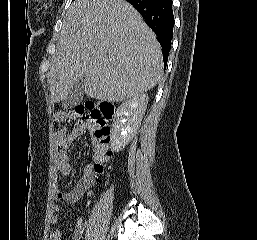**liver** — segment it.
Returning <instances> with one entry per match:
<instances>
[{
  "instance_id": "1",
  "label": "liver",
  "mask_w": 257,
  "mask_h": 240,
  "mask_svg": "<svg viewBox=\"0 0 257 240\" xmlns=\"http://www.w3.org/2000/svg\"><path fill=\"white\" fill-rule=\"evenodd\" d=\"M163 75L153 31L125 0H75L62 22L47 74L53 102L64 101L84 79V92L119 102L155 87Z\"/></svg>"
}]
</instances>
